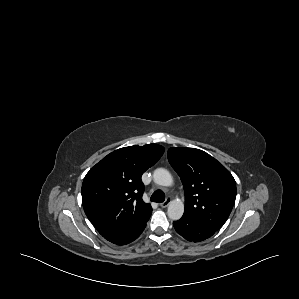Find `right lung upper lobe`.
Here are the masks:
<instances>
[{
  "label": "right lung upper lobe",
  "instance_id": "1",
  "mask_svg": "<svg viewBox=\"0 0 299 299\" xmlns=\"http://www.w3.org/2000/svg\"><path fill=\"white\" fill-rule=\"evenodd\" d=\"M157 144L124 147L93 166L82 184L84 211L104 237L134 230L150 218V204L142 201V174L163 155Z\"/></svg>",
  "mask_w": 299,
  "mask_h": 299
}]
</instances>
